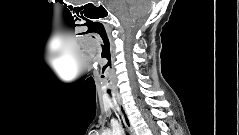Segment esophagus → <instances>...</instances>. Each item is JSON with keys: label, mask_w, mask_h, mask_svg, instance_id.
Returning a JSON list of instances; mask_svg holds the SVG:
<instances>
[{"label": "esophagus", "mask_w": 239, "mask_h": 135, "mask_svg": "<svg viewBox=\"0 0 239 135\" xmlns=\"http://www.w3.org/2000/svg\"><path fill=\"white\" fill-rule=\"evenodd\" d=\"M117 103H118V110H119V113L122 117V120L125 124V126L127 127L128 131L130 132L131 135H134L135 132H134V129H133V126L131 124V121H130V118L125 110V107L120 99V97L117 95Z\"/></svg>", "instance_id": "1"}]
</instances>
